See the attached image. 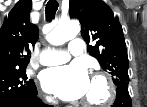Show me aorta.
Returning <instances> with one entry per match:
<instances>
[{"mask_svg":"<svg viewBox=\"0 0 147 107\" xmlns=\"http://www.w3.org/2000/svg\"><path fill=\"white\" fill-rule=\"evenodd\" d=\"M80 32V25L76 21L61 22L48 35V41L53 45H62L75 38Z\"/></svg>","mask_w":147,"mask_h":107,"instance_id":"1","label":"aorta"}]
</instances>
